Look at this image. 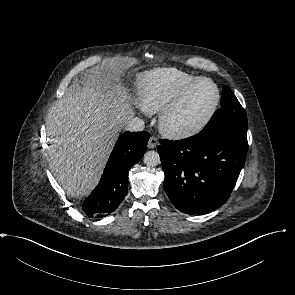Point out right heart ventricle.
<instances>
[{"mask_svg":"<svg viewBox=\"0 0 295 295\" xmlns=\"http://www.w3.org/2000/svg\"><path fill=\"white\" fill-rule=\"evenodd\" d=\"M196 78L198 77L173 68L146 73L140 82L142 107L149 113L163 110L186 85Z\"/></svg>","mask_w":295,"mask_h":295,"instance_id":"e07e8e85","label":"right heart ventricle"}]
</instances>
